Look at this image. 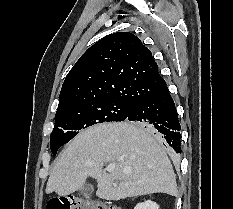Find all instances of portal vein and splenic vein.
<instances>
[{
    "mask_svg": "<svg viewBox=\"0 0 233 209\" xmlns=\"http://www.w3.org/2000/svg\"><path fill=\"white\" fill-rule=\"evenodd\" d=\"M106 170H107L108 172H112V171L114 170V166L108 165V166L106 167Z\"/></svg>",
    "mask_w": 233,
    "mask_h": 209,
    "instance_id": "18ae733b",
    "label": "portal vein and splenic vein"
}]
</instances>
